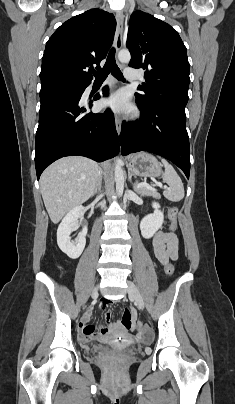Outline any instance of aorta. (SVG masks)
<instances>
[{"instance_id": "1", "label": "aorta", "mask_w": 235, "mask_h": 404, "mask_svg": "<svg viewBox=\"0 0 235 404\" xmlns=\"http://www.w3.org/2000/svg\"><path fill=\"white\" fill-rule=\"evenodd\" d=\"M118 59L122 63H128L131 59L130 52L128 50H121L118 53ZM122 160L117 159L115 164V182H116V191L118 195H122L124 189V173L121 167Z\"/></svg>"}]
</instances>
